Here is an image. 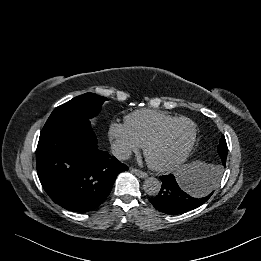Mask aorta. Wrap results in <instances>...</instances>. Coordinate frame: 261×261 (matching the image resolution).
Returning a JSON list of instances; mask_svg holds the SVG:
<instances>
[{
	"mask_svg": "<svg viewBox=\"0 0 261 261\" xmlns=\"http://www.w3.org/2000/svg\"><path fill=\"white\" fill-rule=\"evenodd\" d=\"M144 191L150 196H156L161 189V182L155 177H149L144 181Z\"/></svg>",
	"mask_w": 261,
	"mask_h": 261,
	"instance_id": "762f6f07",
	"label": "aorta"
}]
</instances>
